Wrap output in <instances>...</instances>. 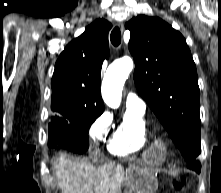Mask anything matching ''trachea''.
Here are the masks:
<instances>
[{"instance_id": "trachea-1", "label": "trachea", "mask_w": 221, "mask_h": 193, "mask_svg": "<svg viewBox=\"0 0 221 193\" xmlns=\"http://www.w3.org/2000/svg\"><path fill=\"white\" fill-rule=\"evenodd\" d=\"M112 44L117 47L121 43V32L118 27H115L110 35Z\"/></svg>"}]
</instances>
